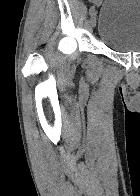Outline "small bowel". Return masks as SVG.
Wrapping results in <instances>:
<instances>
[{
    "instance_id": "c3829d8e",
    "label": "small bowel",
    "mask_w": 140,
    "mask_h": 196,
    "mask_svg": "<svg viewBox=\"0 0 140 196\" xmlns=\"http://www.w3.org/2000/svg\"><path fill=\"white\" fill-rule=\"evenodd\" d=\"M95 2H100L101 0H94Z\"/></svg>"
}]
</instances>
